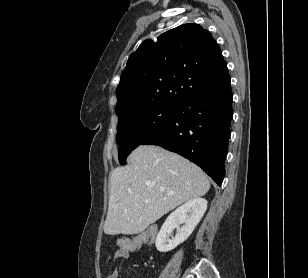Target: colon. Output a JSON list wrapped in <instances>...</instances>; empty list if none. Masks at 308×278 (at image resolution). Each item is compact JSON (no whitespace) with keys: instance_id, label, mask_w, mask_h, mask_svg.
Returning a JSON list of instances; mask_svg holds the SVG:
<instances>
[{"instance_id":"1","label":"colon","mask_w":308,"mask_h":278,"mask_svg":"<svg viewBox=\"0 0 308 278\" xmlns=\"http://www.w3.org/2000/svg\"><path fill=\"white\" fill-rule=\"evenodd\" d=\"M158 235L157 226H147L146 232L140 235H134L133 240L129 238H120L118 240L119 250H128L129 253H139L143 243L151 241L154 245V241Z\"/></svg>"}]
</instances>
